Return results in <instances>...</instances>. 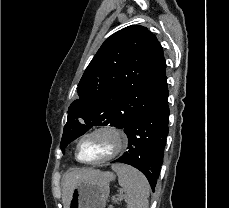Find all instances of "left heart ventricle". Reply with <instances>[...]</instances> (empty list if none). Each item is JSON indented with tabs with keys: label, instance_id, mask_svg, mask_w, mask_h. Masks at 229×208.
Masks as SVG:
<instances>
[{
	"label": "left heart ventricle",
	"instance_id": "1",
	"mask_svg": "<svg viewBox=\"0 0 229 208\" xmlns=\"http://www.w3.org/2000/svg\"><path fill=\"white\" fill-rule=\"evenodd\" d=\"M85 138H88V136ZM117 149L118 147H111L110 143H84L82 141L79 147V155L81 159L86 161L98 160L110 155Z\"/></svg>",
	"mask_w": 229,
	"mask_h": 208
}]
</instances>
